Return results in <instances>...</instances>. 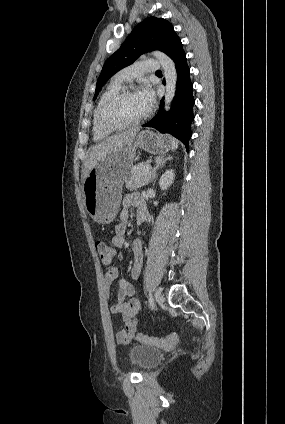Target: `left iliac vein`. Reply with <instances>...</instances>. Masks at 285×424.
I'll list each match as a JSON object with an SVG mask.
<instances>
[{
    "label": "left iliac vein",
    "mask_w": 285,
    "mask_h": 424,
    "mask_svg": "<svg viewBox=\"0 0 285 424\" xmlns=\"http://www.w3.org/2000/svg\"><path fill=\"white\" fill-rule=\"evenodd\" d=\"M155 299L158 304H162L164 302V297L161 295L159 290L155 293Z\"/></svg>",
    "instance_id": "obj_1"
}]
</instances>
